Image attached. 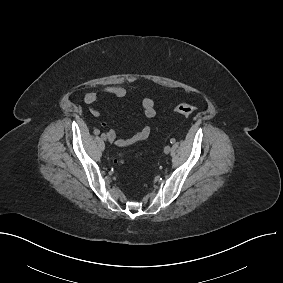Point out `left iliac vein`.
<instances>
[{
    "label": "left iliac vein",
    "mask_w": 283,
    "mask_h": 283,
    "mask_svg": "<svg viewBox=\"0 0 283 283\" xmlns=\"http://www.w3.org/2000/svg\"><path fill=\"white\" fill-rule=\"evenodd\" d=\"M171 151V147L169 145L165 146L164 153L168 154Z\"/></svg>",
    "instance_id": "4c4485c4"
}]
</instances>
